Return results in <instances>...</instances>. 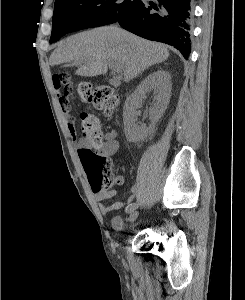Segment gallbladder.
<instances>
[{"instance_id":"1","label":"gallbladder","mask_w":245,"mask_h":300,"mask_svg":"<svg viewBox=\"0 0 245 300\" xmlns=\"http://www.w3.org/2000/svg\"><path fill=\"white\" fill-rule=\"evenodd\" d=\"M110 82H111V83H114V81H113V80H110Z\"/></svg>"}]
</instances>
